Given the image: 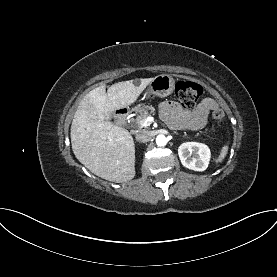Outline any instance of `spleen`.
<instances>
[{
	"mask_svg": "<svg viewBox=\"0 0 277 277\" xmlns=\"http://www.w3.org/2000/svg\"><path fill=\"white\" fill-rule=\"evenodd\" d=\"M228 152V145H224L221 149L220 155L218 157V159L216 160V162H221L223 161V159L226 157Z\"/></svg>",
	"mask_w": 277,
	"mask_h": 277,
	"instance_id": "spleen-1",
	"label": "spleen"
}]
</instances>
